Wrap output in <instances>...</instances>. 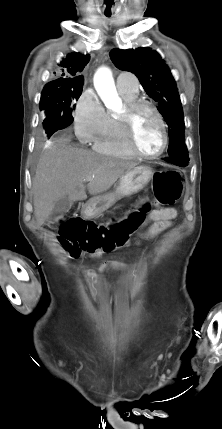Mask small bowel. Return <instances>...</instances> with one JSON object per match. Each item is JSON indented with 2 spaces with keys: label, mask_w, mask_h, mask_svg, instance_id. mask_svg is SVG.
<instances>
[{
  "label": "small bowel",
  "mask_w": 222,
  "mask_h": 429,
  "mask_svg": "<svg viewBox=\"0 0 222 429\" xmlns=\"http://www.w3.org/2000/svg\"><path fill=\"white\" fill-rule=\"evenodd\" d=\"M176 216H177V210L175 208L159 207L151 211L145 222V225H148L147 229L144 232H141L139 234V239L135 241V244L137 245L140 244L141 239H145V240L152 239L155 236H157L159 233L168 229L172 225L173 220L175 219ZM130 245H131V242L127 241L125 244L119 247H116L113 250L108 252L98 251V252L90 253V257L100 258L106 253L116 252L123 248H127ZM126 268L127 267L124 263H121L118 261H104L99 265L98 271L102 273V272H105L106 270H125Z\"/></svg>",
  "instance_id": "small-bowel-1"
}]
</instances>
